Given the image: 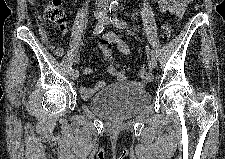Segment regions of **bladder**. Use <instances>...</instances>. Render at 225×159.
<instances>
[{"label": "bladder", "instance_id": "bladder-1", "mask_svg": "<svg viewBox=\"0 0 225 159\" xmlns=\"http://www.w3.org/2000/svg\"><path fill=\"white\" fill-rule=\"evenodd\" d=\"M91 110L109 120H126L150 104L149 93L129 82L108 85L89 101Z\"/></svg>", "mask_w": 225, "mask_h": 159}]
</instances>
